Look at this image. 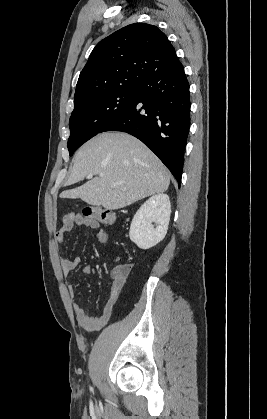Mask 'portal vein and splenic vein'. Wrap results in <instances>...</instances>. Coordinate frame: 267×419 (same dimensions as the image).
<instances>
[{
  "label": "portal vein and splenic vein",
  "instance_id": "obj_1",
  "mask_svg": "<svg viewBox=\"0 0 267 419\" xmlns=\"http://www.w3.org/2000/svg\"><path fill=\"white\" fill-rule=\"evenodd\" d=\"M99 176H100V177H103V176H104V174H102V173H101ZM92 177H93V175H88V176H87V179H91ZM116 185H117V183H113V184H112V186H116Z\"/></svg>",
  "mask_w": 267,
  "mask_h": 419
}]
</instances>
